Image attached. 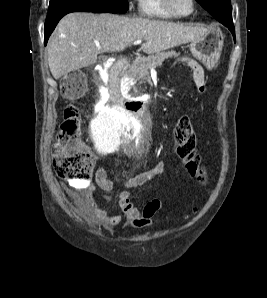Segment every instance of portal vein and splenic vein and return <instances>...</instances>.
Wrapping results in <instances>:
<instances>
[{
    "label": "portal vein and splenic vein",
    "instance_id": "portal-vein-and-splenic-vein-1",
    "mask_svg": "<svg viewBox=\"0 0 267 298\" xmlns=\"http://www.w3.org/2000/svg\"><path fill=\"white\" fill-rule=\"evenodd\" d=\"M141 42H142V40H136V41L133 42V44L138 45V44H141ZM97 46L99 47V45H97Z\"/></svg>",
    "mask_w": 267,
    "mask_h": 298
}]
</instances>
